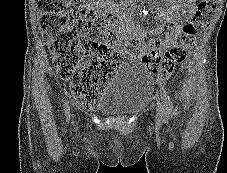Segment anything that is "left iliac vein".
I'll list each match as a JSON object with an SVG mask.
<instances>
[{
    "label": "left iliac vein",
    "instance_id": "1",
    "mask_svg": "<svg viewBox=\"0 0 227 173\" xmlns=\"http://www.w3.org/2000/svg\"><path fill=\"white\" fill-rule=\"evenodd\" d=\"M155 101H156V105H157L156 122L160 124L164 119L163 106H162V102L160 101L158 95H155Z\"/></svg>",
    "mask_w": 227,
    "mask_h": 173
}]
</instances>
